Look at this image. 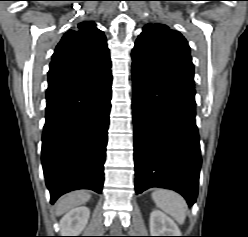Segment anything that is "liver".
<instances>
[{
	"instance_id": "obj_1",
	"label": "liver",
	"mask_w": 248,
	"mask_h": 237,
	"mask_svg": "<svg viewBox=\"0 0 248 237\" xmlns=\"http://www.w3.org/2000/svg\"><path fill=\"white\" fill-rule=\"evenodd\" d=\"M91 198V195L87 191H75L71 192L56 203V215L60 216L69 210L86 203Z\"/></svg>"
}]
</instances>
